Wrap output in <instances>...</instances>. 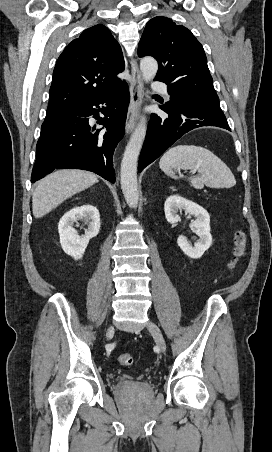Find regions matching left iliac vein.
I'll return each instance as SVG.
<instances>
[{
  "label": "left iliac vein",
  "mask_w": 272,
  "mask_h": 452,
  "mask_svg": "<svg viewBox=\"0 0 272 452\" xmlns=\"http://www.w3.org/2000/svg\"><path fill=\"white\" fill-rule=\"evenodd\" d=\"M147 328L150 331V333L153 335L156 345L159 347L160 351L162 353H165L166 352V342L164 340V337L161 333L160 328L154 322H149L147 325Z\"/></svg>",
  "instance_id": "1"
}]
</instances>
